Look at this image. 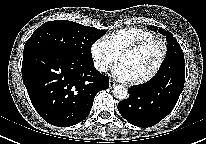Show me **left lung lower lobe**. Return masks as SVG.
<instances>
[{
	"instance_id": "left-lung-lower-lobe-1",
	"label": "left lung lower lobe",
	"mask_w": 206,
	"mask_h": 144,
	"mask_svg": "<svg viewBox=\"0 0 206 144\" xmlns=\"http://www.w3.org/2000/svg\"><path fill=\"white\" fill-rule=\"evenodd\" d=\"M184 80L185 67H170L149 82L129 88V98L119 102L118 110L131 124L151 127L175 107Z\"/></svg>"
}]
</instances>
